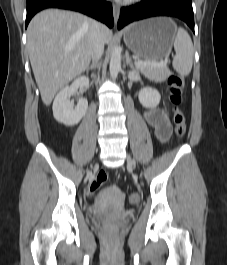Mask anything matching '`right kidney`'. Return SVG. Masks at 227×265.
<instances>
[{"label": "right kidney", "mask_w": 227, "mask_h": 265, "mask_svg": "<svg viewBox=\"0 0 227 265\" xmlns=\"http://www.w3.org/2000/svg\"><path fill=\"white\" fill-rule=\"evenodd\" d=\"M81 87H89L88 77L80 76L76 78L70 86L63 88L55 97L52 109L54 118L58 122L66 126H74L85 115L88 108V101L86 99H80L76 107L70 101V97Z\"/></svg>", "instance_id": "right-kidney-1"}]
</instances>
